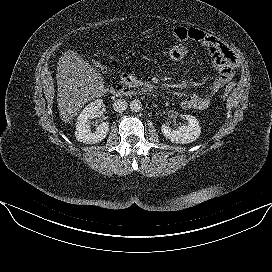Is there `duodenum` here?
Here are the masks:
<instances>
[{
    "mask_svg": "<svg viewBox=\"0 0 272 272\" xmlns=\"http://www.w3.org/2000/svg\"><path fill=\"white\" fill-rule=\"evenodd\" d=\"M133 88H137L140 92L145 94H153L154 90L148 85H140L135 78L129 74H122L119 81L112 83L108 90L114 95H130L132 94Z\"/></svg>",
    "mask_w": 272,
    "mask_h": 272,
    "instance_id": "410a0bca",
    "label": "duodenum"
}]
</instances>
